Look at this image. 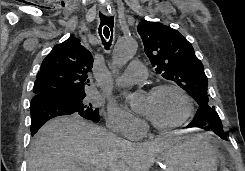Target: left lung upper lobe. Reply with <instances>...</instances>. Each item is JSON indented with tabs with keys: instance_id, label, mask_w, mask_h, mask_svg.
I'll return each mask as SVG.
<instances>
[{
	"instance_id": "obj_1",
	"label": "left lung upper lobe",
	"mask_w": 245,
	"mask_h": 171,
	"mask_svg": "<svg viewBox=\"0 0 245 171\" xmlns=\"http://www.w3.org/2000/svg\"><path fill=\"white\" fill-rule=\"evenodd\" d=\"M137 31L156 72L176 82L195 99L200 108L210 106L208 79L191 43L179 31L159 22L141 21Z\"/></svg>"
}]
</instances>
